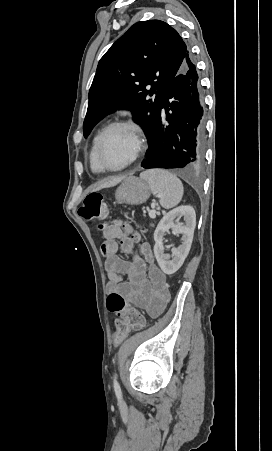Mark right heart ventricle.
I'll return each instance as SVG.
<instances>
[{"label": "right heart ventricle", "mask_w": 272, "mask_h": 451, "mask_svg": "<svg viewBox=\"0 0 272 451\" xmlns=\"http://www.w3.org/2000/svg\"><path fill=\"white\" fill-rule=\"evenodd\" d=\"M97 139L98 138H96L94 141V145L92 147V150H91L90 156H89L90 168L93 172H98L97 164H96V160H95V145H96Z\"/></svg>", "instance_id": "e07e8e85"}]
</instances>
